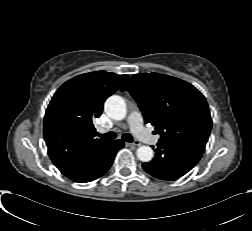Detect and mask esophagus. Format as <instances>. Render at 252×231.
I'll return each instance as SVG.
<instances>
[{
	"label": "esophagus",
	"instance_id": "esophagus-1",
	"mask_svg": "<svg viewBox=\"0 0 252 231\" xmlns=\"http://www.w3.org/2000/svg\"><path fill=\"white\" fill-rule=\"evenodd\" d=\"M127 146H139L140 143L138 142H132V143H126Z\"/></svg>",
	"mask_w": 252,
	"mask_h": 231
}]
</instances>
